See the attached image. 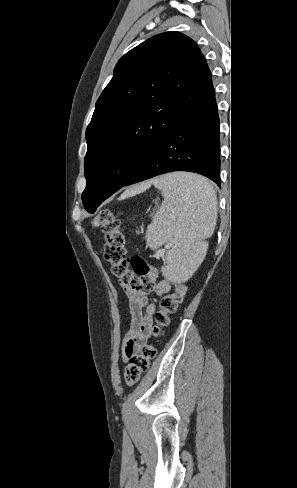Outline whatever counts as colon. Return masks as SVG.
Masks as SVG:
<instances>
[{
  "mask_svg": "<svg viewBox=\"0 0 297 488\" xmlns=\"http://www.w3.org/2000/svg\"><path fill=\"white\" fill-rule=\"evenodd\" d=\"M93 225L104 234V257L112 266L113 274L120 282L129 285L139 293H150L156 288L157 270L140 256H134L131 261L126 256L125 237L121 231L120 219L110 210L100 211ZM131 263L132 269H129ZM187 293V286L178 283L174 292L163 296L159 302V309L155 314V324L152 328L154 339L160 338L165 327L170 322V314L183 301ZM156 356L153 344L142 347L139 353L133 355L124 370V380L127 385L136 384L141 375L148 371L150 362Z\"/></svg>",
  "mask_w": 297,
  "mask_h": 488,
  "instance_id": "obj_1",
  "label": "colon"
}]
</instances>
